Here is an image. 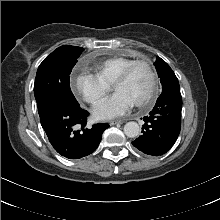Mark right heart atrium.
Masks as SVG:
<instances>
[{
	"instance_id": "right-heart-atrium-1",
	"label": "right heart atrium",
	"mask_w": 220,
	"mask_h": 220,
	"mask_svg": "<svg viewBox=\"0 0 220 220\" xmlns=\"http://www.w3.org/2000/svg\"><path fill=\"white\" fill-rule=\"evenodd\" d=\"M71 89L78 98L95 105L106 95L109 86L96 75L81 72L72 79Z\"/></svg>"
}]
</instances>
